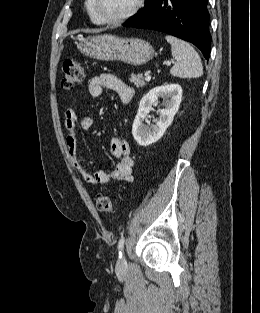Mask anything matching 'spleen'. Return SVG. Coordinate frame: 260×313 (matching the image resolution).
<instances>
[{"mask_svg": "<svg viewBox=\"0 0 260 313\" xmlns=\"http://www.w3.org/2000/svg\"><path fill=\"white\" fill-rule=\"evenodd\" d=\"M166 40L172 48V56L176 59L170 69L171 75L179 78H199L203 74L200 56L187 42L167 35Z\"/></svg>", "mask_w": 260, "mask_h": 313, "instance_id": "1", "label": "spleen"}]
</instances>
